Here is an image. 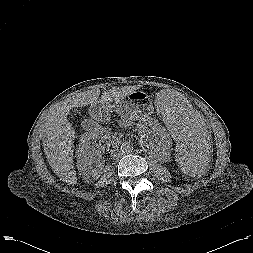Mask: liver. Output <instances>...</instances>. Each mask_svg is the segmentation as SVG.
Segmentation results:
<instances>
[{"instance_id":"obj_1","label":"liver","mask_w":253,"mask_h":253,"mask_svg":"<svg viewBox=\"0 0 253 253\" xmlns=\"http://www.w3.org/2000/svg\"><path fill=\"white\" fill-rule=\"evenodd\" d=\"M140 88V85L113 88L104 91L100 99L99 89L87 90L60 103L47 116L42 126L44 151L53 172L61 181L69 185H75L77 183L76 171L73 164L75 131L67 119L70 110L72 108L96 105L97 103H116ZM162 92L164 90L158 94Z\"/></svg>"}]
</instances>
